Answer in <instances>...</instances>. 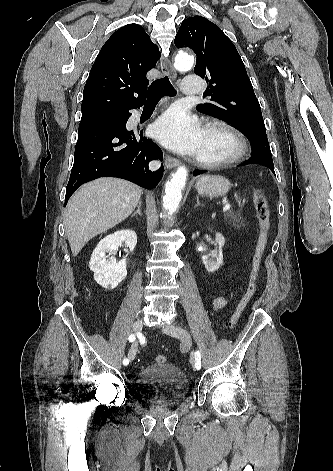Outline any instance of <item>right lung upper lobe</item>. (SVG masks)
Segmentation results:
<instances>
[{
	"label": "right lung upper lobe",
	"mask_w": 333,
	"mask_h": 471,
	"mask_svg": "<svg viewBox=\"0 0 333 471\" xmlns=\"http://www.w3.org/2000/svg\"><path fill=\"white\" fill-rule=\"evenodd\" d=\"M159 58L158 47L140 25L118 29L91 68L83 91L81 122L142 105L149 85L146 74Z\"/></svg>",
	"instance_id": "right-lung-upper-lobe-1"
}]
</instances>
